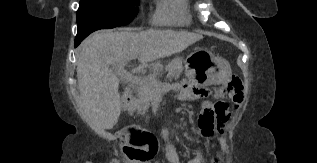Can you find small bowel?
I'll use <instances>...</instances> for the list:
<instances>
[{
  "label": "small bowel",
  "instance_id": "small-bowel-1",
  "mask_svg": "<svg viewBox=\"0 0 317 163\" xmlns=\"http://www.w3.org/2000/svg\"><path fill=\"white\" fill-rule=\"evenodd\" d=\"M175 91L178 92L179 98L181 100H186L191 95V93L194 92V90H191L188 86H185V85L176 87ZM209 92H210V85H206V86L201 87L199 89L198 93L200 96L205 97V96H208ZM204 103H209V102L205 101ZM241 103H242V101H240L236 105V108H238ZM229 121H230V113L228 112V110H226L219 120L218 129L220 130L221 134H224V131H225L227 125L229 124ZM201 132H202V137L205 140L211 139L215 133V131H210V132L201 131ZM162 137L164 140L163 150H164V155H165L166 160L169 163H181L180 156L178 154L176 145L169 139L168 130L165 129L162 131ZM223 141H224V139H223ZM192 153H193V157L188 161V163H220V161H221L219 155L215 156L211 160H207L204 149L200 145H193L192 146ZM86 163H92V162H86Z\"/></svg>",
  "mask_w": 317,
  "mask_h": 163
}]
</instances>
